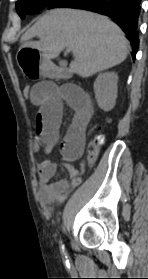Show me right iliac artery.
Segmentation results:
<instances>
[{"mask_svg":"<svg viewBox=\"0 0 148 279\" xmlns=\"http://www.w3.org/2000/svg\"><path fill=\"white\" fill-rule=\"evenodd\" d=\"M60 251H61L62 255H65V254H66L65 247H64V245L62 244V242H60Z\"/></svg>","mask_w":148,"mask_h":279,"instance_id":"82829eb1","label":"right iliac artery"}]
</instances>
